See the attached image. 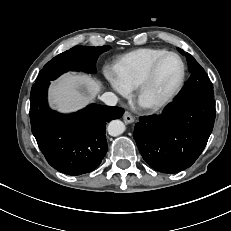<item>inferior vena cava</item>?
I'll return each mask as SVG.
<instances>
[{
    "label": "inferior vena cava",
    "instance_id": "1",
    "mask_svg": "<svg viewBox=\"0 0 231 231\" xmlns=\"http://www.w3.org/2000/svg\"><path fill=\"white\" fill-rule=\"evenodd\" d=\"M100 99L108 106H115L118 102L117 96L112 92H105Z\"/></svg>",
    "mask_w": 231,
    "mask_h": 231
}]
</instances>
